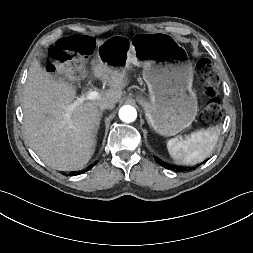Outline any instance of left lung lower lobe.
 <instances>
[{
  "instance_id": "left-lung-lower-lobe-1",
  "label": "left lung lower lobe",
  "mask_w": 253,
  "mask_h": 253,
  "mask_svg": "<svg viewBox=\"0 0 253 253\" xmlns=\"http://www.w3.org/2000/svg\"><path fill=\"white\" fill-rule=\"evenodd\" d=\"M157 162H158L162 167L174 169L173 166H171V165H169V164H167V163H165V162H162V161H160V160H157ZM176 171L182 172L183 169H177Z\"/></svg>"
}]
</instances>
